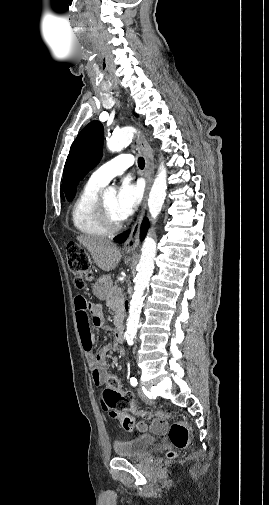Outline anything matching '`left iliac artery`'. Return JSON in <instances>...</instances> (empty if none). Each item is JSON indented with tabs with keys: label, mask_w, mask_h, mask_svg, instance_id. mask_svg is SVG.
I'll return each mask as SVG.
<instances>
[{
	"label": "left iliac artery",
	"mask_w": 269,
	"mask_h": 505,
	"mask_svg": "<svg viewBox=\"0 0 269 505\" xmlns=\"http://www.w3.org/2000/svg\"><path fill=\"white\" fill-rule=\"evenodd\" d=\"M130 384L135 387L137 386L138 382H137V379L135 377H131L130 378Z\"/></svg>",
	"instance_id": "44dca946"
}]
</instances>
